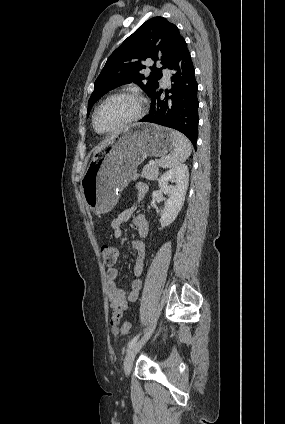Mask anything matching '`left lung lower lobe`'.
Returning a JSON list of instances; mask_svg holds the SVG:
<instances>
[{"label":"left lung lower lobe","mask_w":285,"mask_h":424,"mask_svg":"<svg viewBox=\"0 0 285 424\" xmlns=\"http://www.w3.org/2000/svg\"><path fill=\"white\" fill-rule=\"evenodd\" d=\"M172 71V88L166 90V97L158 88L150 95V113L141 122L156 123L176 129L186 135L196 148L198 137V84L190 53L181 36L166 65ZM169 94V95H168Z\"/></svg>","instance_id":"0a47b994"}]
</instances>
